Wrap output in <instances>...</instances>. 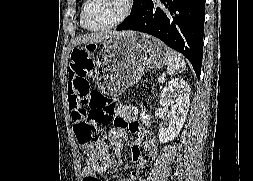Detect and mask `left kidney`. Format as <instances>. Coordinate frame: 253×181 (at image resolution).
Returning <instances> with one entry per match:
<instances>
[{
	"label": "left kidney",
	"mask_w": 253,
	"mask_h": 181,
	"mask_svg": "<svg viewBox=\"0 0 253 181\" xmlns=\"http://www.w3.org/2000/svg\"><path fill=\"white\" fill-rule=\"evenodd\" d=\"M160 105L164 111L170 109V123L168 128L159 129V140L161 143L174 140L185 123L190 104V87L188 83L180 77L172 79L163 88L160 94Z\"/></svg>",
	"instance_id": "left-kidney-1"
}]
</instances>
